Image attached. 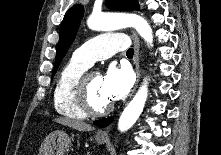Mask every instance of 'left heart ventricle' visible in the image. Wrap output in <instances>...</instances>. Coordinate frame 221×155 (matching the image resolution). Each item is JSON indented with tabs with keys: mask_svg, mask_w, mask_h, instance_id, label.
Returning <instances> with one entry per match:
<instances>
[{
	"mask_svg": "<svg viewBox=\"0 0 221 155\" xmlns=\"http://www.w3.org/2000/svg\"><path fill=\"white\" fill-rule=\"evenodd\" d=\"M89 98L92 105L101 109L110 103L102 87V77L99 73L94 72L89 79Z\"/></svg>",
	"mask_w": 221,
	"mask_h": 155,
	"instance_id": "left-heart-ventricle-1",
	"label": "left heart ventricle"
}]
</instances>
